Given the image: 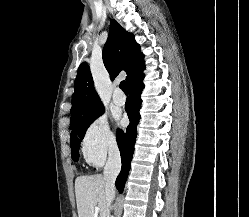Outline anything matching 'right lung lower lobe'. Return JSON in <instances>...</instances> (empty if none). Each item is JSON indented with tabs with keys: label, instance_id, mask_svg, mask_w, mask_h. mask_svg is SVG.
<instances>
[{
	"label": "right lung lower lobe",
	"instance_id": "obj_1",
	"mask_svg": "<svg viewBox=\"0 0 249 217\" xmlns=\"http://www.w3.org/2000/svg\"><path fill=\"white\" fill-rule=\"evenodd\" d=\"M144 66L129 82V92L125 110L128 113L130 124L124 133L122 130L117 131V143L121 153L122 169L118 175L115 185L119 192H122L130 170L131 159L134 153V144L137 136V124L140 120L139 110L141 108V92L144 88L142 80L144 78Z\"/></svg>",
	"mask_w": 249,
	"mask_h": 217
}]
</instances>
